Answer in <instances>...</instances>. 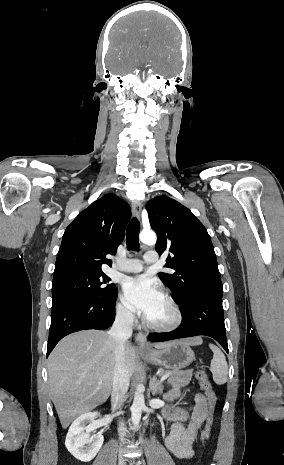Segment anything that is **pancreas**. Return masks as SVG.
<instances>
[{
  "label": "pancreas",
  "instance_id": "obj_1",
  "mask_svg": "<svg viewBox=\"0 0 284 465\" xmlns=\"http://www.w3.org/2000/svg\"><path fill=\"white\" fill-rule=\"evenodd\" d=\"M167 373H171L167 383L172 385L174 389L186 387V385H189L192 377V371H161L160 375H167Z\"/></svg>",
  "mask_w": 284,
  "mask_h": 465
}]
</instances>
